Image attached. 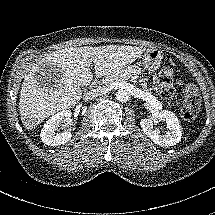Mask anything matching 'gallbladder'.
I'll return each mask as SVG.
<instances>
[{
	"instance_id": "bac80fb5",
	"label": "gallbladder",
	"mask_w": 215,
	"mask_h": 215,
	"mask_svg": "<svg viewBox=\"0 0 215 215\" xmlns=\"http://www.w3.org/2000/svg\"><path fill=\"white\" fill-rule=\"evenodd\" d=\"M41 73H44V74H47L48 76H51V73L48 72L45 68H43V69L41 70ZM45 82H46V80H45Z\"/></svg>"
}]
</instances>
